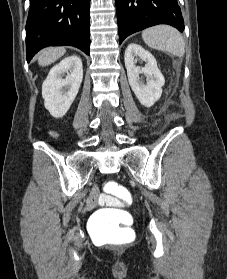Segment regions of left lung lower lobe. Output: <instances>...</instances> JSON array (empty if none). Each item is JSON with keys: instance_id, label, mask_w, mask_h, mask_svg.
I'll use <instances>...</instances> for the list:
<instances>
[{"instance_id": "obj_1", "label": "left lung lower lobe", "mask_w": 227, "mask_h": 279, "mask_svg": "<svg viewBox=\"0 0 227 279\" xmlns=\"http://www.w3.org/2000/svg\"><path fill=\"white\" fill-rule=\"evenodd\" d=\"M119 43L132 33L157 24H169L184 30L177 0H115Z\"/></svg>"}]
</instances>
